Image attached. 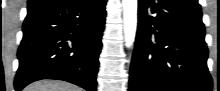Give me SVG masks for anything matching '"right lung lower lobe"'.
Segmentation results:
<instances>
[{
    "label": "right lung lower lobe",
    "mask_w": 220,
    "mask_h": 91,
    "mask_svg": "<svg viewBox=\"0 0 220 91\" xmlns=\"http://www.w3.org/2000/svg\"><path fill=\"white\" fill-rule=\"evenodd\" d=\"M106 0H40L28 4L18 49L16 91L58 79L96 91Z\"/></svg>",
    "instance_id": "1"
}]
</instances>
